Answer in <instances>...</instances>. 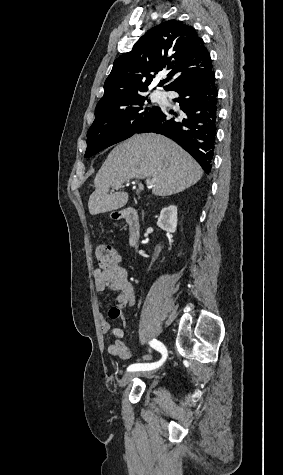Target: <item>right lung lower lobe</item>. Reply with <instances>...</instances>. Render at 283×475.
<instances>
[{
    "mask_svg": "<svg viewBox=\"0 0 283 475\" xmlns=\"http://www.w3.org/2000/svg\"><path fill=\"white\" fill-rule=\"evenodd\" d=\"M169 91L179 94L173 101L179 103L182 112L160 108L137 133L153 132L173 139L209 173L218 119V91L214 70L179 82Z\"/></svg>",
    "mask_w": 283,
    "mask_h": 475,
    "instance_id": "98d812e1",
    "label": "right lung lower lobe"
}]
</instances>
